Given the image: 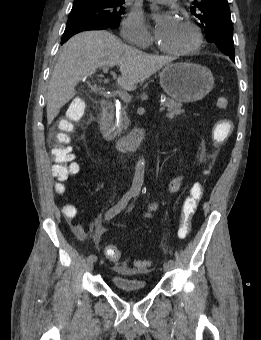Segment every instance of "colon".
<instances>
[{"mask_svg": "<svg viewBox=\"0 0 261 340\" xmlns=\"http://www.w3.org/2000/svg\"><path fill=\"white\" fill-rule=\"evenodd\" d=\"M216 106L220 110H227L229 100L226 97H219L216 100ZM85 105L81 100H74L69 105L66 117L60 121L58 131L51 137V154L54 160L52 167L53 177L59 181L56 184V189L59 192L64 190L63 185L60 183L75 175L78 170V164L74 161L72 148L69 146L71 134L75 131V122L82 119L84 115ZM233 130V123L229 119L219 120L213 128V140L216 144H221L226 141ZM204 194V186L202 183H195L191 186L188 195L184 198L181 205L180 225L178 235L180 238H186L192 226V218ZM64 211L68 214L72 213V206H66ZM106 258L114 263L119 262L121 253L120 250L109 245L105 248ZM139 267L145 265V262H138Z\"/></svg>", "mask_w": 261, "mask_h": 340, "instance_id": "1", "label": "colon"}]
</instances>
